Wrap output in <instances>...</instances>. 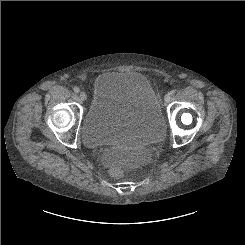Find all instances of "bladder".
Wrapping results in <instances>:
<instances>
[{
    "instance_id": "bladder-1",
    "label": "bladder",
    "mask_w": 245,
    "mask_h": 245,
    "mask_svg": "<svg viewBox=\"0 0 245 245\" xmlns=\"http://www.w3.org/2000/svg\"><path fill=\"white\" fill-rule=\"evenodd\" d=\"M164 126L160 101L145 75L106 71L93 83L92 101L80 133L91 147L140 145L160 138Z\"/></svg>"
}]
</instances>
